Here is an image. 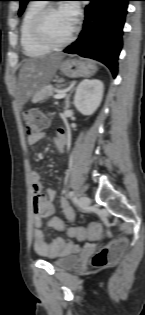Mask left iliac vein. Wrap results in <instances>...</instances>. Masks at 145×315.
Listing matches in <instances>:
<instances>
[{"instance_id": "1", "label": "left iliac vein", "mask_w": 145, "mask_h": 315, "mask_svg": "<svg viewBox=\"0 0 145 315\" xmlns=\"http://www.w3.org/2000/svg\"><path fill=\"white\" fill-rule=\"evenodd\" d=\"M79 205L81 206V207H87V206H89L90 205V203H91V200H90V198L89 197H87V196H81L80 198H79Z\"/></svg>"}]
</instances>
